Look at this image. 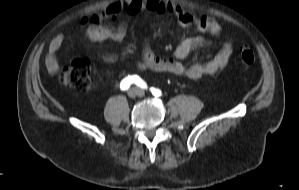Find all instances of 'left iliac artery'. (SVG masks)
<instances>
[{
  "instance_id": "44dca946",
  "label": "left iliac artery",
  "mask_w": 299,
  "mask_h": 190,
  "mask_svg": "<svg viewBox=\"0 0 299 190\" xmlns=\"http://www.w3.org/2000/svg\"><path fill=\"white\" fill-rule=\"evenodd\" d=\"M151 92L154 96H160V94H161V91L156 88H151Z\"/></svg>"
}]
</instances>
